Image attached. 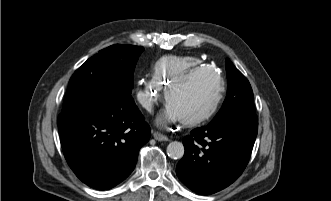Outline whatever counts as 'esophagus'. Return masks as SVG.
<instances>
[{"label": "esophagus", "instance_id": "1", "mask_svg": "<svg viewBox=\"0 0 331 201\" xmlns=\"http://www.w3.org/2000/svg\"><path fill=\"white\" fill-rule=\"evenodd\" d=\"M153 137L158 141H168V137L159 132H154Z\"/></svg>", "mask_w": 331, "mask_h": 201}]
</instances>
